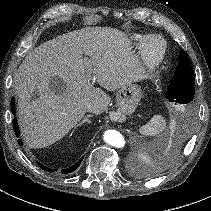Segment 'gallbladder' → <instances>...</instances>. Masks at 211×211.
<instances>
[{
	"label": "gallbladder",
	"instance_id": "1",
	"mask_svg": "<svg viewBox=\"0 0 211 211\" xmlns=\"http://www.w3.org/2000/svg\"><path fill=\"white\" fill-rule=\"evenodd\" d=\"M51 87L57 92L59 93L60 92V89H58V86H63V83L61 80H59L58 78L54 77L52 78L51 82Z\"/></svg>",
	"mask_w": 211,
	"mask_h": 211
}]
</instances>
